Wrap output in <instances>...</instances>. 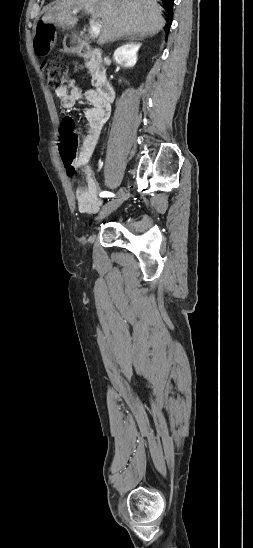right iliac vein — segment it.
Returning a JSON list of instances; mask_svg holds the SVG:
<instances>
[{
    "label": "right iliac vein",
    "mask_w": 253,
    "mask_h": 548,
    "mask_svg": "<svg viewBox=\"0 0 253 548\" xmlns=\"http://www.w3.org/2000/svg\"><path fill=\"white\" fill-rule=\"evenodd\" d=\"M127 198V191L124 187H122L119 192H118V195L116 197V199L108 202L104 207L103 209L101 210L100 212V215L99 217L97 218L98 220H101L102 218H104L105 216L109 215L111 212L115 211L123 202L124 200Z\"/></svg>",
    "instance_id": "right-iliac-vein-1"
}]
</instances>
